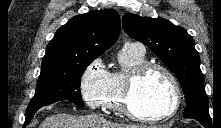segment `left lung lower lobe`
Wrapping results in <instances>:
<instances>
[{"label": "left lung lower lobe", "instance_id": "0a47b994", "mask_svg": "<svg viewBox=\"0 0 221 128\" xmlns=\"http://www.w3.org/2000/svg\"><path fill=\"white\" fill-rule=\"evenodd\" d=\"M198 122H200L205 128H212V121L211 119H196Z\"/></svg>", "mask_w": 221, "mask_h": 128}]
</instances>
